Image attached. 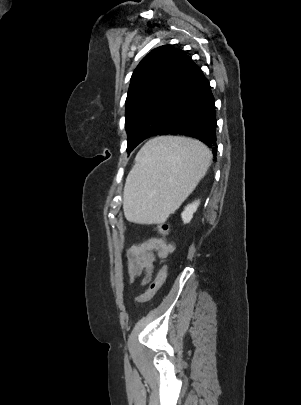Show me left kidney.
<instances>
[{
	"mask_svg": "<svg viewBox=\"0 0 301 405\" xmlns=\"http://www.w3.org/2000/svg\"><path fill=\"white\" fill-rule=\"evenodd\" d=\"M199 204H200V201L196 200L193 203L188 204L184 208V211L181 213V218L185 224H187L191 221V219L193 218V214L196 212Z\"/></svg>",
	"mask_w": 301,
	"mask_h": 405,
	"instance_id": "5707ae66",
	"label": "left kidney"
}]
</instances>
